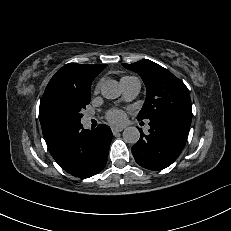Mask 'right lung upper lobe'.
<instances>
[{"mask_svg": "<svg viewBox=\"0 0 231 231\" xmlns=\"http://www.w3.org/2000/svg\"><path fill=\"white\" fill-rule=\"evenodd\" d=\"M106 66L107 65L69 63L55 73L49 81L44 93L56 86H64L79 91L90 92L92 81ZM39 117L44 139L49 141L60 129L47 124L40 115V112Z\"/></svg>", "mask_w": 231, "mask_h": 231, "instance_id": "cb5924a9", "label": "right lung upper lobe"}]
</instances>
